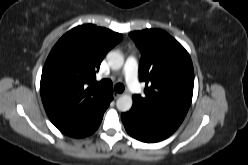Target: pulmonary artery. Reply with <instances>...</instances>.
Returning <instances> with one entry per match:
<instances>
[{"label": "pulmonary artery", "mask_w": 248, "mask_h": 165, "mask_svg": "<svg viewBox=\"0 0 248 165\" xmlns=\"http://www.w3.org/2000/svg\"><path fill=\"white\" fill-rule=\"evenodd\" d=\"M124 74L126 78L127 85L129 89L134 94H139L141 92V87L138 81V61L135 57H130L127 59L124 65Z\"/></svg>", "instance_id": "pulmonary-artery-1"}]
</instances>
